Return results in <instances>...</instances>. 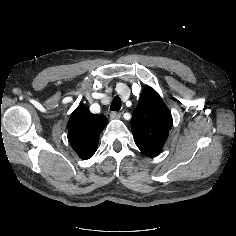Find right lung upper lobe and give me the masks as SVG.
<instances>
[{
  "label": "right lung upper lobe",
  "instance_id": "obj_1",
  "mask_svg": "<svg viewBox=\"0 0 236 236\" xmlns=\"http://www.w3.org/2000/svg\"><path fill=\"white\" fill-rule=\"evenodd\" d=\"M106 124L105 116L92 114L85 105H80L73 111L68 123V135L72 148L81 159L93 156L99 135Z\"/></svg>",
  "mask_w": 236,
  "mask_h": 236
}]
</instances>
